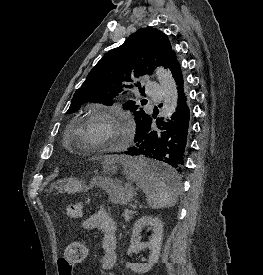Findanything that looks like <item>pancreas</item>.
<instances>
[{"label": "pancreas", "mask_w": 263, "mask_h": 275, "mask_svg": "<svg viewBox=\"0 0 263 275\" xmlns=\"http://www.w3.org/2000/svg\"><path fill=\"white\" fill-rule=\"evenodd\" d=\"M133 214H135V212L125 210V212L123 214L125 221H130L132 219Z\"/></svg>", "instance_id": "obj_1"}]
</instances>
